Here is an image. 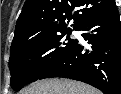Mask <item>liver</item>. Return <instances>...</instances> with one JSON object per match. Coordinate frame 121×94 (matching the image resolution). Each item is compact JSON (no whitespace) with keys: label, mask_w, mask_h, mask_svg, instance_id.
<instances>
[{"label":"liver","mask_w":121,"mask_h":94,"mask_svg":"<svg viewBox=\"0 0 121 94\" xmlns=\"http://www.w3.org/2000/svg\"><path fill=\"white\" fill-rule=\"evenodd\" d=\"M20 94H101V92L78 81L45 79L31 84Z\"/></svg>","instance_id":"obj_1"}]
</instances>
